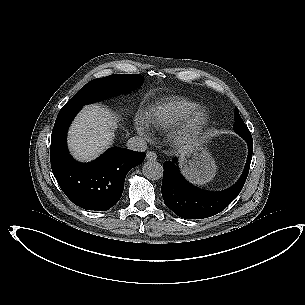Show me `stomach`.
I'll use <instances>...</instances> for the list:
<instances>
[{"label":"stomach","instance_id":"0dacf381","mask_svg":"<svg viewBox=\"0 0 305 305\" xmlns=\"http://www.w3.org/2000/svg\"><path fill=\"white\" fill-rule=\"evenodd\" d=\"M211 136L199 134L193 144L177 159L183 179L197 186L210 183L217 173V165L210 151Z\"/></svg>","mask_w":305,"mask_h":305}]
</instances>
